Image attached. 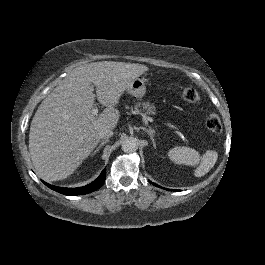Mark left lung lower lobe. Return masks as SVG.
Here are the masks:
<instances>
[{"mask_svg":"<svg viewBox=\"0 0 265 265\" xmlns=\"http://www.w3.org/2000/svg\"><path fill=\"white\" fill-rule=\"evenodd\" d=\"M152 183V182H151ZM153 185H155V186H158L157 184H155V183H152ZM158 187H160V186H158ZM171 191H176V190H171Z\"/></svg>","mask_w":265,"mask_h":265,"instance_id":"1","label":"left lung lower lobe"}]
</instances>
